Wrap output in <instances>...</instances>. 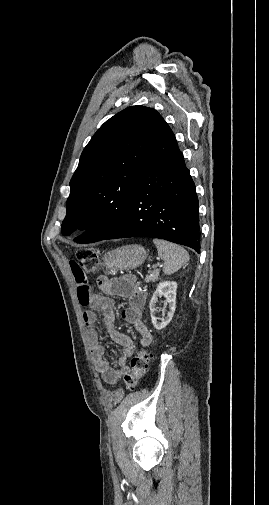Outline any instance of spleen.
Here are the masks:
<instances>
[{"mask_svg": "<svg viewBox=\"0 0 269 505\" xmlns=\"http://www.w3.org/2000/svg\"><path fill=\"white\" fill-rule=\"evenodd\" d=\"M158 255L164 260L163 272L170 275L186 265L189 261L188 252L175 243L165 241L163 239H153Z\"/></svg>", "mask_w": 269, "mask_h": 505, "instance_id": "spleen-1", "label": "spleen"}]
</instances>
